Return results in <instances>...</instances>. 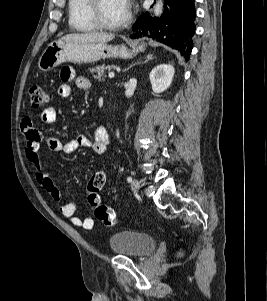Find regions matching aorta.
Returning <instances> with one entry per match:
<instances>
[{
  "mask_svg": "<svg viewBox=\"0 0 267 301\" xmlns=\"http://www.w3.org/2000/svg\"><path fill=\"white\" fill-rule=\"evenodd\" d=\"M163 12V2L162 0H158L154 6V15L159 17Z\"/></svg>",
  "mask_w": 267,
  "mask_h": 301,
  "instance_id": "762f6f07",
  "label": "aorta"
}]
</instances>
